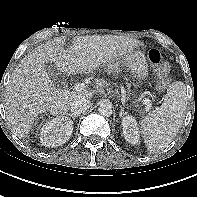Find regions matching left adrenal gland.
Wrapping results in <instances>:
<instances>
[{
	"label": "left adrenal gland",
	"instance_id": "obj_1",
	"mask_svg": "<svg viewBox=\"0 0 197 197\" xmlns=\"http://www.w3.org/2000/svg\"><path fill=\"white\" fill-rule=\"evenodd\" d=\"M120 114H119V116L120 117H122L123 115H126L127 113L126 112H124V108L122 107V106H120Z\"/></svg>",
	"mask_w": 197,
	"mask_h": 197
}]
</instances>
